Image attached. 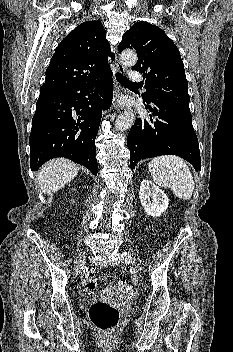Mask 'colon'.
<instances>
[{
	"mask_svg": "<svg viewBox=\"0 0 233 352\" xmlns=\"http://www.w3.org/2000/svg\"><path fill=\"white\" fill-rule=\"evenodd\" d=\"M96 286V274L93 271H90L84 277L83 291L86 294H91L94 292ZM89 318L98 330L102 332H110L118 325L120 313L116 307L104 301H96L89 309Z\"/></svg>",
	"mask_w": 233,
	"mask_h": 352,
	"instance_id": "1",
	"label": "colon"
}]
</instances>
